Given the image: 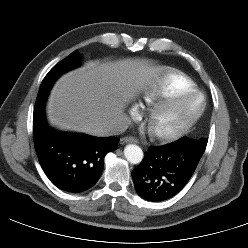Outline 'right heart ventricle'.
Segmentation results:
<instances>
[{
    "label": "right heart ventricle",
    "instance_id": "obj_1",
    "mask_svg": "<svg viewBox=\"0 0 248 248\" xmlns=\"http://www.w3.org/2000/svg\"><path fill=\"white\" fill-rule=\"evenodd\" d=\"M195 89L193 81L178 70H169L160 83L144 94V100L152 104L173 94Z\"/></svg>",
    "mask_w": 248,
    "mask_h": 248
}]
</instances>
